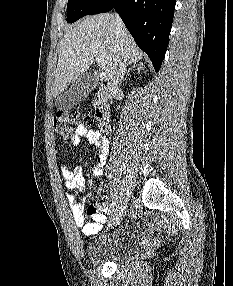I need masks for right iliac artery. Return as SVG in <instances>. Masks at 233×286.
I'll use <instances>...</instances> for the list:
<instances>
[{"label":"right iliac artery","mask_w":233,"mask_h":286,"mask_svg":"<svg viewBox=\"0 0 233 286\" xmlns=\"http://www.w3.org/2000/svg\"><path fill=\"white\" fill-rule=\"evenodd\" d=\"M118 208V199H115L110 205V213H115Z\"/></svg>","instance_id":"82829eb1"}]
</instances>
